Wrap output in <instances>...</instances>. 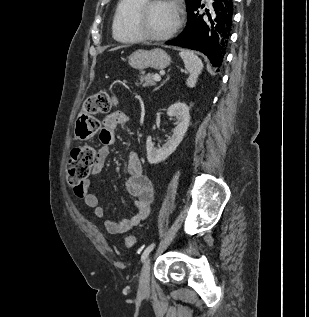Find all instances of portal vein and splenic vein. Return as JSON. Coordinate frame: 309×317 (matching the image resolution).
Wrapping results in <instances>:
<instances>
[{
	"mask_svg": "<svg viewBox=\"0 0 309 317\" xmlns=\"http://www.w3.org/2000/svg\"><path fill=\"white\" fill-rule=\"evenodd\" d=\"M154 80H155V81H160V80H161L160 75H154Z\"/></svg>",
	"mask_w": 309,
	"mask_h": 317,
	"instance_id": "1",
	"label": "portal vein and splenic vein"
}]
</instances>
